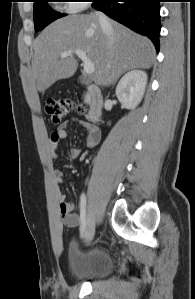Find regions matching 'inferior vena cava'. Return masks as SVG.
Returning a JSON list of instances; mask_svg holds the SVG:
<instances>
[{
    "instance_id": "obj_1",
    "label": "inferior vena cava",
    "mask_w": 195,
    "mask_h": 299,
    "mask_svg": "<svg viewBox=\"0 0 195 299\" xmlns=\"http://www.w3.org/2000/svg\"><path fill=\"white\" fill-rule=\"evenodd\" d=\"M95 15L98 18V21H99V24H100L102 30L104 31V33L106 34V36L108 38V45H109V47H111L112 44H113V37H112V34H111L112 33V24H111V21L102 12L96 11Z\"/></svg>"
}]
</instances>
